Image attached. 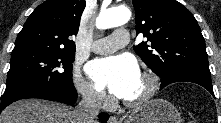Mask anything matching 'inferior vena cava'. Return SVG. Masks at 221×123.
<instances>
[{
	"label": "inferior vena cava",
	"instance_id": "1",
	"mask_svg": "<svg viewBox=\"0 0 221 123\" xmlns=\"http://www.w3.org/2000/svg\"><path fill=\"white\" fill-rule=\"evenodd\" d=\"M82 100L76 108L78 123H97L103 96L90 87L81 90Z\"/></svg>",
	"mask_w": 221,
	"mask_h": 123
}]
</instances>
